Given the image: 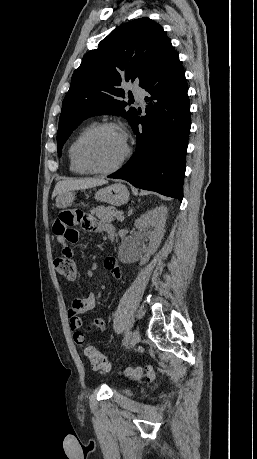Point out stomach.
Returning <instances> with one entry per match:
<instances>
[{"instance_id": "1", "label": "stomach", "mask_w": 257, "mask_h": 459, "mask_svg": "<svg viewBox=\"0 0 257 459\" xmlns=\"http://www.w3.org/2000/svg\"><path fill=\"white\" fill-rule=\"evenodd\" d=\"M95 198L99 201L119 206L127 203L129 200V191L125 185L115 183L98 190L95 193ZM74 199L75 193L73 191L64 192L56 198V206L63 208L64 205H71Z\"/></svg>"}]
</instances>
